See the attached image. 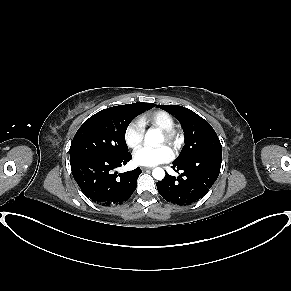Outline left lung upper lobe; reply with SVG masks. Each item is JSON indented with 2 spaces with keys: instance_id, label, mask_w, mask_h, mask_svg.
<instances>
[{
  "instance_id": "left-lung-upper-lobe-1",
  "label": "left lung upper lobe",
  "mask_w": 291,
  "mask_h": 291,
  "mask_svg": "<svg viewBox=\"0 0 291 291\" xmlns=\"http://www.w3.org/2000/svg\"><path fill=\"white\" fill-rule=\"evenodd\" d=\"M157 107L174 115L184 130L185 145L176 161H181L200 153L221 150V143L216 132L198 114L179 105H157Z\"/></svg>"
}]
</instances>
